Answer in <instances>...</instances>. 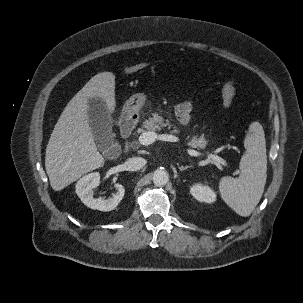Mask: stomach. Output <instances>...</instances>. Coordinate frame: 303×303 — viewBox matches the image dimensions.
<instances>
[{"instance_id":"obj_1","label":"stomach","mask_w":303,"mask_h":303,"mask_svg":"<svg viewBox=\"0 0 303 303\" xmlns=\"http://www.w3.org/2000/svg\"><path fill=\"white\" fill-rule=\"evenodd\" d=\"M146 95L144 93H136L132 95L124 105V114L128 117L138 115L140 109L145 105Z\"/></svg>"}]
</instances>
